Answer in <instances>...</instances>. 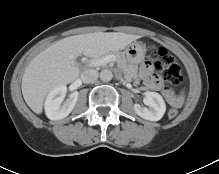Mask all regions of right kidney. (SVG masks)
<instances>
[{
  "label": "right kidney",
  "instance_id": "ca27d5eb",
  "mask_svg": "<svg viewBox=\"0 0 219 174\" xmlns=\"http://www.w3.org/2000/svg\"><path fill=\"white\" fill-rule=\"evenodd\" d=\"M67 92L65 85H60L49 92L45 100V114L50 120H60L67 117L75 107L79 93L74 91L69 99L64 102V97Z\"/></svg>",
  "mask_w": 219,
  "mask_h": 174
}]
</instances>
